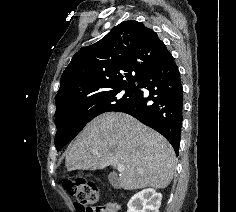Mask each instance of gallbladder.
I'll use <instances>...</instances> for the list:
<instances>
[{
    "mask_svg": "<svg viewBox=\"0 0 236 212\" xmlns=\"http://www.w3.org/2000/svg\"><path fill=\"white\" fill-rule=\"evenodd\" d=\"M109 181L114 186H118L119 185L118 178L115 175H113V174H109Z\"/></svg>",
    "mask_w": 236,
    "mask_h": 212,
    "instance_id": "bac80fb5",
    "label": "gallbladder"
}]
</instances>
